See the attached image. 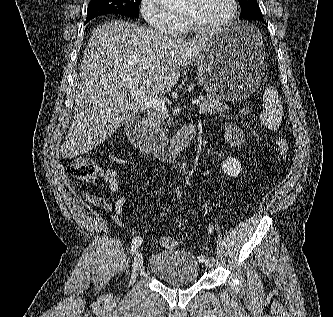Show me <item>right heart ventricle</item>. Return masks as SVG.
<instances>
[{
  "label": "right heart ventricle",
  "instance_id": "1",
  "mask_svg": "<svg viewBox=\"0 0 333 317\" xmlns=\"http://www.w3.org/2000/svg\"><path fill=\"white\" fill-rule=\"evenodd\" d=\"M180 32V34H183L184 33V30L181 28L180 30H179Z\"/></svg>",
  "mask_w": 333,
  "mask_h": 317
}]
</instances>
